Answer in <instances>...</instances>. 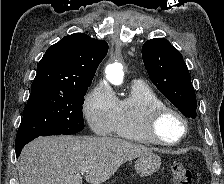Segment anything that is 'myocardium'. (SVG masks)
Listing matches in <instances>:
<instances>
[{
  "mask_svg": "<svg viewBox=\"0 0 224 184\" xmlns=\"http://www.w3.org/2000/svg\"><path fill=\"white\" fill-rule=\"evenodd\" d=\"M167 115H172L177 118L183 126V133L181 137L176 140H165L158 133V124L160 120ZM143 132L150 143L169 147L180 144L187 137L189 127L187 119L181 112L171 106L161 104L154 106L148 110L143 122Z\"/></svg>",
  "mask_w": 224,
  "mask_h": 184,
  "instance_id": "1",
  "label": "myocardium"
}]
</instances>
